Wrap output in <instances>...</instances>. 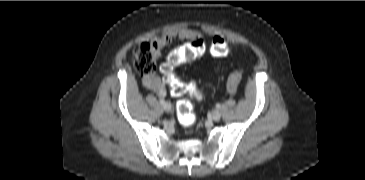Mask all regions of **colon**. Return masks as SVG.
Instances as JSON below:
<instances>
[{"mask_svg":"<svg viewBox=\"0 0 365 180\" xmlns=\"http://www.w3.org/2000/svg\"><path fill=\"white\" fill-rule=\"evenodd\" d=\"M229 49L228 43L220 37L213 40L211 52L215 57H223ZM205 52V44L201 39H194L176 48L168 56L166 64L163 66L165 80L172 88L173 93L180 97L177 103V116L181 124L193 126L196 121V115L193 112L191 102L184 98L185 94L201 97V93L194 82L184 83L179 81L173 73V66L186 61L195 60L201 57ZM156 52L149 43L136 45L132 50V59L135 70L142 76H150L156 70ZM240 73L231 75L228 81V87L234 91L240 81Z\"/></svg>","mask_w":365,"mask_h":180,"instance_id":"colon-1","label":"colon"}]
</instances>
